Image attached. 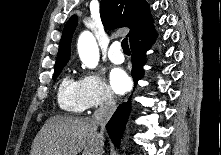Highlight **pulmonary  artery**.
<instances>
[{
	"mask_svg": "<svg viewBox=\"0 0 221 155\" xmlns=\"http://www.w3.org/2000/svg\"><path fill=\"white\" fill-rule=\"evenodd\" d=\"M108 57L115 64H121L124 62L125 58L119 42L116 41L112 43L108 51Z\"/></svg>",
	"mask_w": 221,
	"mask_h": 155,
	"instance_id": "e3ab8cb5",
	"label": "pulmonary artery"
}]
</instances>
